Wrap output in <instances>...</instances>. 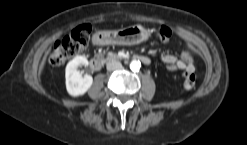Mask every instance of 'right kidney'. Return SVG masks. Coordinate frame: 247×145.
<instances>
[{"label": "right kidney", "mask_w": 247, "mask_h": 145, "mask_svg": "<svg viewBox=\"0 0 247 145\" xmlns=\"http://www.w3.org/2000/svg\"><path fill=\"white\" fill-rule=\"evenodd\" d=\"M88 66V60L84 56H76L66 66V89L69 95L77 97L84 95L92 86L93 78L90 75L82 77L78 67Z\"/></svg>", "instance_id": "1"}]
</instances>
